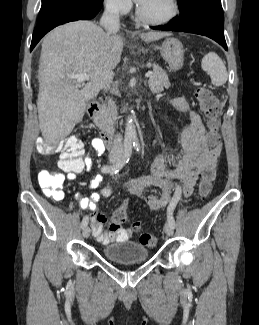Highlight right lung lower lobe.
<instances>
[{
	"instance_id": "98d812e1",
	"label": "right lung lower lobe",
	"mask_w": 259,
	"mask_h": 325,
	"mask_svg": "<svg viewBox=\"0 0 259 325\" xmlns=\"http://www.w3.org/2000/svg\"><path fill=\"white\" fill-rule=\"evenodd\" d=\"M102 4L94 3H66L47 10L38 17V23L34 29L30 51L40 39L54 27L70 21L88 20L95 17L101 10Z\"/></svg>"
}]
</instances>
